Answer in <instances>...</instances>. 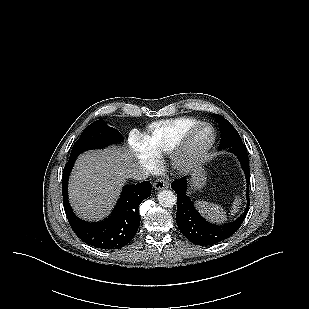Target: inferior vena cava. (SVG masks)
<instances>
[{
	"label": "inferior vena cava",
	"instance_id": "602c4592",
	"mask_svg": "<svg viewBox=\"0 0 309 309\" xmlns=\"http://www.w3.org/2000/svg\"><path fill=\"white\" fill-rule=\"evenodd\" d=\"M128 176L135 180H145L149 176L148 170L139 165H135L128 170Z\"/></svg>",
	"mask_w": 309,
	"mask_h": 309
}]
</instances>
